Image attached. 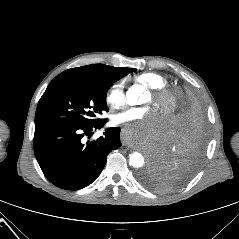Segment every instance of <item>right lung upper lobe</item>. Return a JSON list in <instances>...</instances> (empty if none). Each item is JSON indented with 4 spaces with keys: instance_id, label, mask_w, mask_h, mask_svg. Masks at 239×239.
<instances>
[{
    "instance_id": "1",
    "label": "right lung upper lobe",
    "mask_w": 239,
    "mask_h": 239,
    "mask_svg": "<svg viewBox=\"0 0 239 239\" xmlns=\"http://www.w3.org/2000/svg\"><path fill=\"white\" fill-rule=\"evenodd\" d=\"M132 71V68H117L104 64H92L77 68L68 69L55 78L62 77H85V78H104L117 75H124Z\"/></svg>"
}]
</instances>
